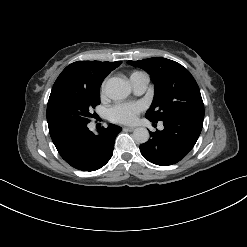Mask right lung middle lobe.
Masks as SVG:
<instances>
[{
  "mask_svg": "<svg viewBox=\"0 0 247 247\" xmlns=\"http://www.w3.org/2000/svg\"><path fill=\"white\" fill-rule=\"evenodd\" d=\"M100 104V89L64 84L52 89L47 104V122L50 136L62 130L87 125L92 109Z\"/></svg>",
  "mask_w": 247,
  "mask_h": 247,
  "instance_id": "dd1d6c3e",
  "label": "right lung middle lobe"
}]
</instances>
